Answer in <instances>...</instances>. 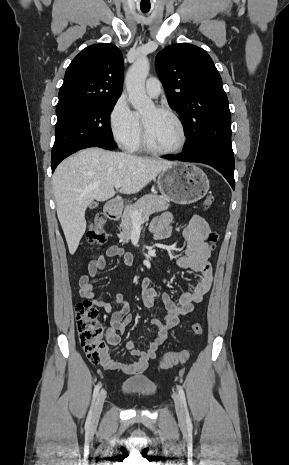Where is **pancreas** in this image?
<instances>
[{
	"label": "pancreas",
	"instance_id": "obj_1",
	"mask_svg": "<svg viewBox=\"0 0 289 465\" xmlns=\"http://www.w3.org/2000/svg\"><path fill=\"white\" fill-rule=\"evenodd\" d=\"M169 204L165 199L156 194L145 195L140 198L136 203L128 205L122 214V222L120 229L122 232L118 237L122 243H128L129 237L133 228L132 214L138 212L141 214V221L148 218L149 215L155 212H162L167 210Z\"/></svg>",
	"mask_w": 289,
	"mask_h": 465
}]
</instances>
